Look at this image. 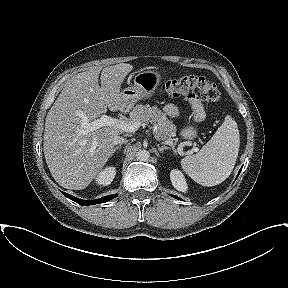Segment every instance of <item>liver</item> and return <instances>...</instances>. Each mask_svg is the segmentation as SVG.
<instances>
[{"mask_svg":"<svg viewBox=\"0 0 288 288\" xmlns=\"http://www.w3.org/2000/svg\"><path fill=\"white\" fill-rule=\"evenodd\" d=\"M127 63L74 75L49 110L44 132V155L54 180L66 189H85L113 155V138L123 133L104 126L84 133L83 117L96 120L109 109L122 111L121 84L132 71ZM96 143L93 148V143Z\"/></svg>","mask_w":288,"mask_h":288,"instance_id":"liver-1","label":"liver"}]
</instances>
